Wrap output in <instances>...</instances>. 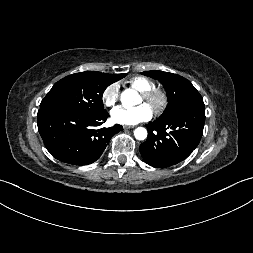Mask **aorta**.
<instances>
[{"label":"aorta","instance_id":"aorta-1","mask_svg":"<svg viewBox=\"0 0 253 253\" xmlns=\"http://www.w3.org/2000/svg\"><path fill=\"white\" fill-rule=\"evenodd\" d=\"M138 93L133 89H126L121 94V103L124 107H130L138 104ZM134 136L137 140H145L147 138V130L143 127H138L134 130Z\"/></svg>","mask_w":253,"mask_h":253}]
</instances>
